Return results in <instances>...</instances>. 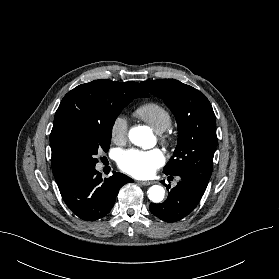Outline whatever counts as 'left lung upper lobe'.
<instances>
[{
	"instance_id": "left-lung-upper-lobe-1",
	"label": "left lung upper lobe",
	"mask_w": 279,
	"mask_h": 279,
	"mask_svg": "<svg viewBox=\"0 0 279 279\" xmlns=\"http://www.w3.org/2000/svg\"><path fill=\"white\" fill-rule=\"evenodd\" d=\"M141 84L164 100L178 124V144L163 172L166 175H191L208 183L217 136L215 115L206 96L175 79L143 81Z\"/></svg>"
}]
</instances>
